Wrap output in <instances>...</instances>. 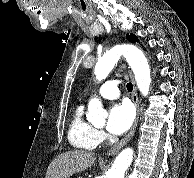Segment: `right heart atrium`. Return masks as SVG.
Segmentation results:
<instances>
[{
    "instance_id": "d8ad5b80",
    "label": "right heart atrium",
    "mask_w": 194,
    "mask_h": 178,
    "mask_svg": "<svg viewBox=\"0 0 194 178\" xmlns=\"http://www.w3.org/2000/svg\"><path fill=\"white\" fill-rule=\"evenodd\" d=\"M96 139L99 143L104 142L107 139V135L103 130H96Z\"/></svg>"
}]
</instances>
